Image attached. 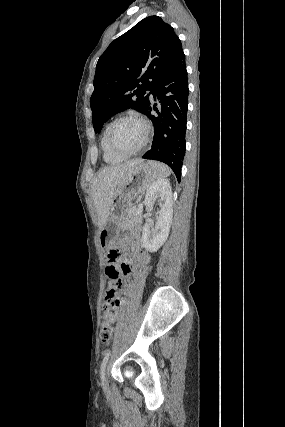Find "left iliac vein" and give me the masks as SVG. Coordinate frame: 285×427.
<instances>
[{"instance_id":"left-iliac-vein-1","label":"left iliac vein","mask_w":285,"mask_h":427,"mask_svg":"<svg viewBox=\"0 0 285 427\" xmlns=\"http://www.w3.org/2000/svg\"><path fill=\"white\" fill-rule=\"evenodd\" d=\"M104 384H107V380L105 379V382H104Z\"/></svg>"}]
</instances>
